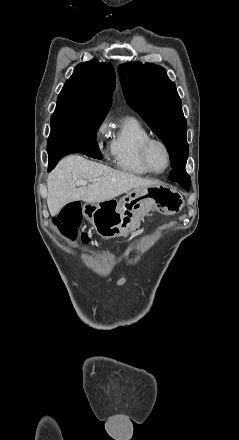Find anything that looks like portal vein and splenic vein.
<instances>
[{
    "label": "portal vein and splenic vein",
    "mask_w": 239,
    "mask_h": 440,
    "mask_svg": "<svg viewBox=\"0 0 239 440\" xmlns=\"http://www.w3.org/2000/svg\"><path fill=\"white\" fill-rule=\"evenodd\" d=\"M88 184L87 180H79V182H76V186H86Z\"/></svg>",
    "instance_id": "obj_1"
}]
</instances>
